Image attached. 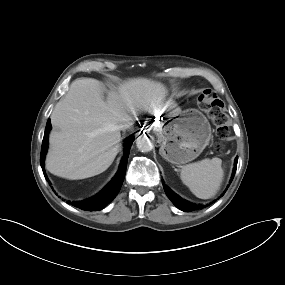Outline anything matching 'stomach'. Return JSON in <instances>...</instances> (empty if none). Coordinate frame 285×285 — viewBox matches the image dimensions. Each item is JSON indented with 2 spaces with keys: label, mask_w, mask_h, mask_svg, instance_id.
Here are the masks:
<instances>
[{
  "label": "stomach",
  "mask_w": 285,
  "mask_h": 285,
  "mask_svg": "<svg viewBox=\"0 0 285 285\" xmlns=\"http://www.w3.org/2000/svg\"><path fill=\"white\" fill-rule=\"evenodd\" d=\"M155 129L161 143L160 155L175 165L197 158L212 136L207 118L196 109L169 113Z\"/></svg>",
  "instance_id": "0dacf381"
}]
</instances>
